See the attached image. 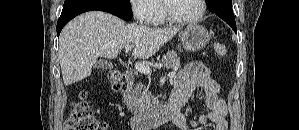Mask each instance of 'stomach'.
<instances>
[{
	"label": "stomach",
	"mask_w": 299,
	"mask_h": 130,
	"mask_svg": "<svg viewBox=\"0 0 299 130\" xmlns=\"http://www.w3.org/2000/svg\"><path fill=\"white\" fill-rule=\"evenodd\" d=\"M211 38L203 26L192 24L181 33V43L186 51L194 52L203 49Z\"/></svg>",
	"instance_id": "0dacf381"
}]
</instances>
